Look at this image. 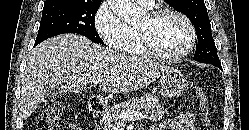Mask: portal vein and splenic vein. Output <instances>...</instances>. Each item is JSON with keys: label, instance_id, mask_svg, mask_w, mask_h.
I'll list each match as a JSON object with an SVG mask.
<instances>
[{"label": "portal vein and splenic vein", "instance_id": "portal-vein-and-splenic-vein-1", "mask_svg": "<svg viewBox=\"0 0 249 130\" xmlns=\"http://www.w3.org/2000/svg\"><path fill=\"white\" fill-rule=\"evenodd\" d=\"M92 82L94 84H98L101 82V80L97 79H92ZM120 119L122 122L126 121H134V120H140L146 118V114L143 112H123L122 114L119 115Z\"/></svg>", "mask_w": 249, "mask_h": 130}]
</instances>
